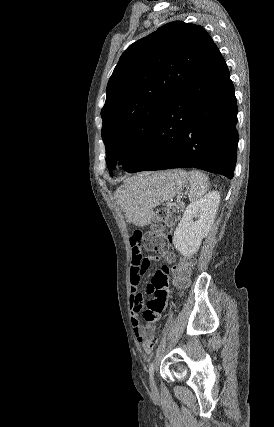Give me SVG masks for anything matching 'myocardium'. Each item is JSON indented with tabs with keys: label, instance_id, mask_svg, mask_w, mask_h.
<instances>
[{
	"label": "myocardium",
	"instance_id": "myocardium-1",
	"mask_svg": "<svg viewBox=\"0 0 274 427\" xmlns=\"http://www.w3.org/2000/svg\"><path fill=\"white\" fill-rule=\"evenodd\" d=\"M126 148H127V143L125 141L120 143V145L118 146V149H117V153L119 155L124 154L126 151Z\"/></svg>",
	"mask_w": 274,
	"mask_h": 427
}]
</instances>
